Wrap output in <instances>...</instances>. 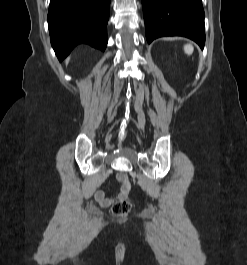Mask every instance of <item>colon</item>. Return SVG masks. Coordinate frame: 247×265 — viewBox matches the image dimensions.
Returning a JSON list of instances; mask_svg holds the SVG:
<instances>
[{
  "label": "colon",
  "mask_w": 247,
  "mask_h": 265,
  "mask_svg": "<svg viewBox=\"0 0 247 265\" xmlns=\"http://www.w3.org/2000/svg\"><path fill=\"white\" fill-rule=\"evenodd\" d=\"M119 181L121 182L122 189L129 191L131 184L125 176H119ZM131 209V203L127 199H119L112 206V213L116 217H125Z\"/></svg>",
  "instance_id": "5ec220e1"
}]
</instances>
